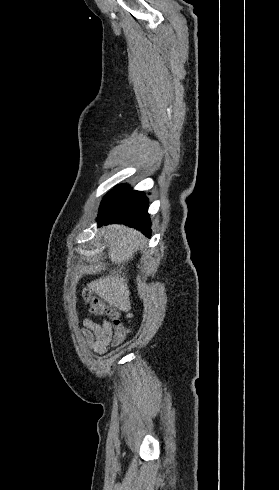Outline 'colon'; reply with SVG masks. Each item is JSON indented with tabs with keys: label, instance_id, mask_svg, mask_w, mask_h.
<instances>
[{
	"label": "colon",
	"instance_id": "obj_1",
	"mask_svg": "<svg viewBox=\"0 0 279 490\" xmlns=\"http://www.w3.org/2000/svg\"><path fill=\"white\" fill-rule=\"evenodd\" d=\"M84 298L90 306L91 314L106 317L113 322L112 331L114 339L121 340L128 333V329L123 324L122 314L118 308L90 291L84 293Z\"/></svg>",
	"mask_w": 279,
	"mask_h": 490
}]
</instances>
